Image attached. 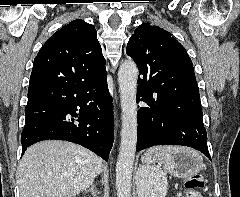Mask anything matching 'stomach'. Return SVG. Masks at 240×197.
I'll return each instance as SVG.
<instances>
[{"label":"stomach","mask_w":240,"mask_h":197,"mask_svg":"<svg viewBox=\"0 0 240 197\" xmlns=\"http://www.w3.org/2000/svg\"><path fill=\"white\" fill-rule=\"evenodd\" d=\"M142 166L139 169V173L145 166L155 165L159 162V159L148 151L141 157ZM163 167L171 175L178 178H188L197 174L203 168L202 158L197 152L188 149L181 148L180 151L174 152L170 156V160L162 161ZM138 173L137 186L141 193L144 185V179Z\"/></svg>","instance_id":"obj_1"}]
</instances>
